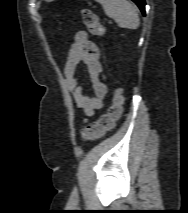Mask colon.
Wrapping results in <instances>:
<instances>
[{
    "instance_id": "obj_1",
    "label": "colon",
    "mask_w": 188,
    "mask_h": 213,
    "mask_svg": "<svg viewBox=\"0 0 188 213\" xmlns=\"http://www.w3.org/2000/svg\"><path fill=\"white\" fill-rule=\"evenodd\" d=\"M81 17L84 25L94 35H102L104 27L99 21L96 13L88 8L81 10ZM124 105V96L120 88H116L112 95L111 105L106 113L101 114L99 118L86 125L81 130V137L84 140H93L103 137L115 125L116 121L122 115Z\"/></svg>"
}]
</instances>
